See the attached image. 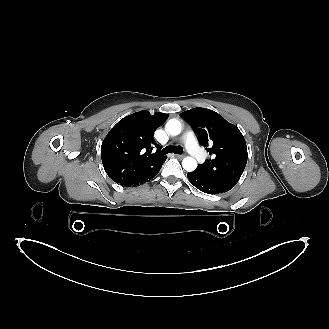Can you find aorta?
Listing matches in <instances>:
<instances>
[{
	"mask_svg": "<svg viewBox=\"0 0 329 329\" xmlns=\"http://www.w3.org/2000/svg\"><path fill=\"white\" fill-rule=\"evenodd\" d=\"M166 130L172 135L177 136L181 132V123L176 119H171L166 123ZM183 168L192 172L197 168V161L193 157H185L182 161Z\"/></svg>",
	"mask_w": 329,
	"mask_h": 329,
	"instance_id": "obj_1",
	"label": "aorta"
}]
</instances>
